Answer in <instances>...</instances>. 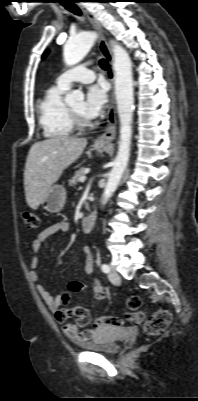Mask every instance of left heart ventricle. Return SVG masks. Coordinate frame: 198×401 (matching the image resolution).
I'll return each mask as SVG.
<instances>
[{
	"mask_svg": "<svg viewBox=\"0 0 198 401\" xmlns=\"http://www.w3.org/2000/svg\"><path fill=\"white\" fill-rule=\"evenodd\" d=\"M70 108H72L75 112H77L78 114H80L81 116H83L84 118L88 119L83 112V108H84V103L78 102L75 105L71 106Z\"/></svg>",
	"mask_w": 198,
	"mask_h": 401,
	"instance_id": "obj_1",
	"label": "left heart ventricle"
}]
</instances>
